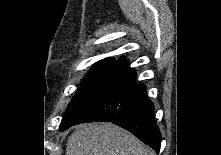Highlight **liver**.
Returning a JSON list of instances; mask_svg holds the SVG:
<instances>
[{
    "mask_svg": "<svg viewBox=\"0 0 221 155\" xmlns=\"http://www.w3.org/2000/svg\"><path fill=\"white\" fill-rule=\"evenodd\" d=\"M66 155H155L128 131L112 123L77 126L69 136Z\"/></svg>",
    "mask_w": 221,
    "mask_h": 155,
    "instance_id": "6515ba94",
    "label": "liver"
}]
</instances>
